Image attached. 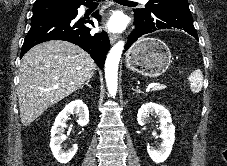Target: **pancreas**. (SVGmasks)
<instances>
[{
	"label": "pancreas",
	"mask_w": 227,
	"mask_h": 166,
	"mask_svg": "<svg viewBox=\"0 0 227 166\" xmlns=\"http://www.w3.org/2000/svg\"><path fill=\"white\" fill-rule=\"evenodd\" d=\"M166 86L165 85H157L155 87L152 88V90H162V89H165Z\"/></svg>",
	"instance_id": "1"
}]
</instances>
